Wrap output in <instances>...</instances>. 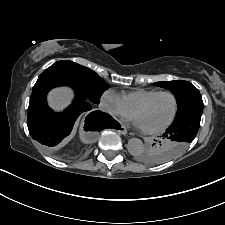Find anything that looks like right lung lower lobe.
<instances>
[{"label":"right lung lower lobe","mask_w":225,"mask_h":225,"mask_svg":"<svg viewBox=\"0 0 225 225\" xmlns=\"http://www.w3.org/2000/svg\"><path fill=\"white\" fill-rule=\"evenodd\" d=\"M61 85L72 87L76 97L72 105L58 114L48 107L46 94L53 87ZM85 99H89L86 92L68 77L42 73L33 87L28 107L27 126L32 138L41 143L46 150L54 151L71 133L81 114L89 113L85 120L86 130H102L115 121L111 116L100 111L90 112L91 105Z\"/></svg>","instance_id":"right-lung-lower-lobe-1"}]
</instances>
